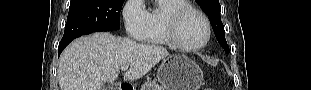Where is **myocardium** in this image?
<instances>
[{
    "instance_id": "f54148a6",
    "label": "myocardium",
    "mask_w": 311,
    "mask_h": 90,
    "mask_svg": "<svg viewBox=\"0 0 311 90\" xmlns=\"http://www.w3.org/2000/svg\"><path fill=\"white\" fill-rule=\"evenodd\" d=\"M189 13H196L199 15L205 24L206 36L204 40L197 45H187L182 42L179 36V26L183 18ZM165 29L171 46L184 52H194L203 49L209 43L212 33L208 17L201 10L193 6H184L170 13L165 19Z\"/></svg>"
}]
</instances>
